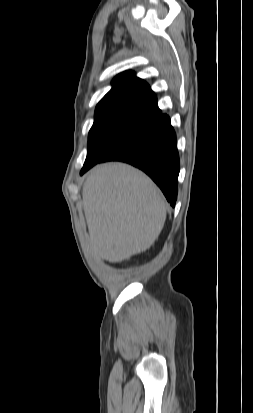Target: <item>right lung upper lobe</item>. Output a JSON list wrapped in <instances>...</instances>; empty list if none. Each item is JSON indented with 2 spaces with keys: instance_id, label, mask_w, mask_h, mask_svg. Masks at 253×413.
Wrapping results in <instances>:
<instances>
[{
  "instance_id": "obj_1",
  "label": "right lung upper lobe",
  "mask_w": 253,
  "mask_h": 413,
  "mask_svg": "<svg viewBox=\"0 0 253 413\" xmlns=\"http://www.w3.org/2000/svg\"><path fill=\"white\" fill-rule=\"evenodd\" d=\"M112 84V89L98 103L96 114L122 110L162 119L167 116L158 108L157 98L149 85L137 78L134 72L119 74Z\"/></svg>"
}]
</instances>
